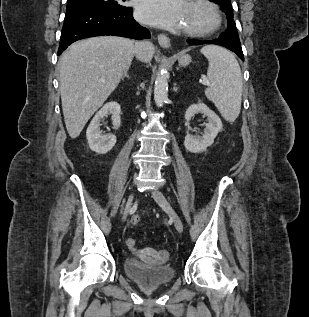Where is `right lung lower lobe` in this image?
<instances>
[{
  "label": "right lung lower lobe",
  "instance_id": "right-lung-lower-lobe-1",
  "mask_svg": "<svg viewBox=\"0 0 309 317\" xmlns=\"http://www.w3.org/2000/svg\"><path fill=\"white\" fill-rule=\"evenodd\" d=\"M113 35L149 39L150 32L132 16V8L111 9L91 4L68 3L57 55L71 43L94 36Z\"/></svg>",
  "mask_w": 309,
  "mask_h": 317
}]
</instances>
